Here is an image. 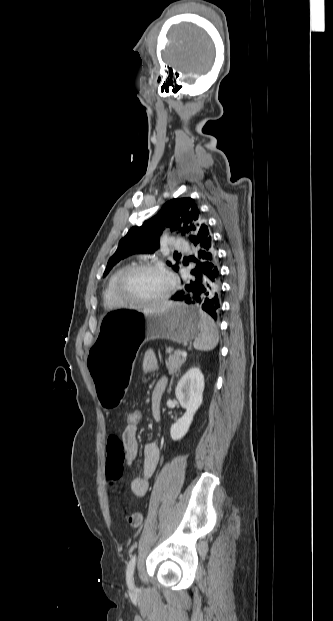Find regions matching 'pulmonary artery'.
I'll return each mask as SVG.
<instances>
[{
  "label": "pulmonary artery",
  "mask_w": 333,
  "mask_h": 621,
  "mask_svg": "<svg viewBox=\"0 0 333 621\" xmlns=\"http://www.w3.org/2000/svg\"><path fill=\"white\" fill-rule=\"evenodd\" d=\"M172 248L174 250L183 251L188 248V244L184 239L176 238L172 240Z\"/></svg>",
  "instance_id": "e3ab8cb5"
}]
</instances>
